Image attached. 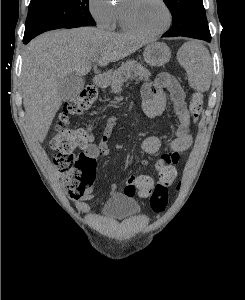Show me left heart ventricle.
<instances>
[{
  "mask_svg": "<svg viewBox=\"0 0 245 300\" xmlns=\"http://www.w3.org/2000/svg\"><path fill=\"white\" fill-rule=\"evenodd\" d=\"M135 21L148 31H157L167 22L166 11L158 0H136L131 4Z\"/></svg>",
  "mask_w": 245,
  "mask_h": 300,
  "instance_id": "left-heart-ventricle-1",
  "label": "left heart ventricle"
}]
</instances>
